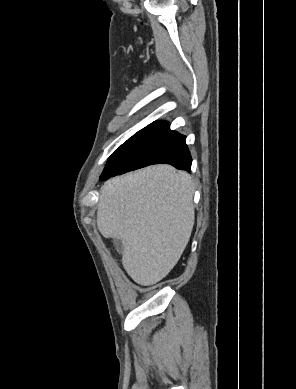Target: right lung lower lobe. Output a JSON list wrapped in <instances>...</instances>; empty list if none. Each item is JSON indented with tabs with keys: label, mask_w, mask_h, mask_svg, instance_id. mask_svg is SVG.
Here are the masks:
<instances>
[{
	"label": "right lung lower lobe",
	"mask_w": 296,
	"mask_h": 389,
	"mask_svg": "<svg viewBox=\"0 0 296 389\" xmlns=\"http://www.w3.org/2000/svg\"><path fill=\"white\" fill-rule=\"evenodd\" d=\"M186 137L171 131L148 154L146 161L137 168L110 170L101 175V180L123 174L152 164L166 163L180 170L191 171L192 158L185 142Z\"/></svg>",
	"instance_id": "1"
}]
</instances>
